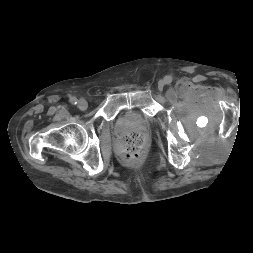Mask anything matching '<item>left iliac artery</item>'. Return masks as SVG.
I'll return each instance as SVG.
<instances>
[{
    "mask_svg": "<svg viewBox=\"0 0 253 253\" xmlns=\"http://www.w3.org/2000/svg\"><path fill=\"white\" fill-rule=\"evenodd\" d=\"M172 82V77L171 76H166L165 77V83L170 84Z\"/></svg>",
    "mask_w": 253,
    "mask_h": 253,
    "instance_id": "44dca946",
    "label": "left iliac artery"
}]
</instances>
